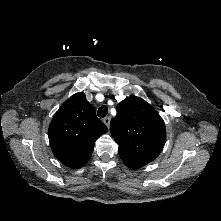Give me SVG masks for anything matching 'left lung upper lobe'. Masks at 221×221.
I'll use <instances>...</instances> for the list:
<instances>
[{"label": "left lung upper lobe", "mask_w": 221, "mask_h": 221, "mask_svg": "<svg viewBox=\"0 0 221 221\" xmlns=\"http://www.w3.org/2000/svg\"><path fill=\"white\" fill-rule=\"evenodd\" d=\"M110 131L124 164L138 169L153 161L166 141L165 124L156 110L143 99L130 96L117 105Z\"/></svg>", "instance_id": "obj_1"}]
</instances>
